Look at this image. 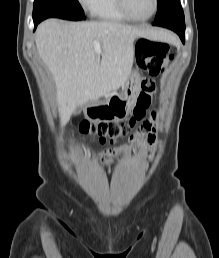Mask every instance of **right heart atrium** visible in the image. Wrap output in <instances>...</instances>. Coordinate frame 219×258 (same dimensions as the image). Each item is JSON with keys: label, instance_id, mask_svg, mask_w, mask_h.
I'll use <instances>...</instances> for the list:
<instances>
[{"label": "right heart atrium", "instance_id": "1", "mask_svg": "<svg viewBox=\"0 0 219 258\" xmlns=\"http://www.w3.org/2000/svg\"><path fill=\"white\" fill-rule=\"evenodd\" d=\"M86 11H91L97 0H78Z\"/></svg>", "mask_w": 219, "mask_h": 258}]
</instances>
